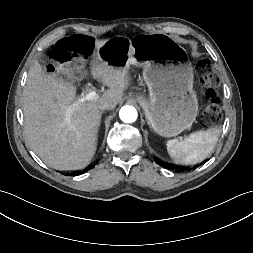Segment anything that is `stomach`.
Listing matches in <instances>:
<instances>
[{"label": "stomach", "instance_id": "1", "mask_svg": "<svg viewBox=\"0 0 253 253\" xmlns=\"http://www.w3.org/2000/svg\"><path fill=\"white\" fill-rule=\"evenodd\" d=\"M97 57L115 68H143L149 96L136 95L150 128L163 137L188 129L198 113L193 90V67L186 51L164 34L140 35L133 40L112 37L97 50Z\"/></svg>", "mask_w": 253, "mask_h": 253}]
</instances>
